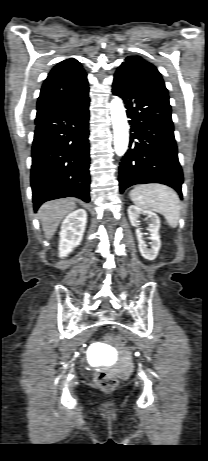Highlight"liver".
Here are the masks:
<instances>
[{"label": "liver", "instance_id": "liver-1", "mask_svg": "<svg viewBox=\"0 0 208 461\" xmlns=\"http://www.w3.org/2000/svg\"><path fill=\"white\" fill-rule=\"evenodd\" d=\"M75 208L76 204L72 198L53 200L40 207L38 217L47 240L52 238L62 219Z\"/></svg>", "mask_w": 208, "mask_h": 461}]
</instances>
